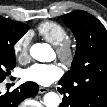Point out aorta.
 I'll use <instances>...</instances> for the list:
<instances>
[{"label":"aorta","instance_id":"1","mask_svg":"<svg viewBox=\"0 0 107 107\" xmlns=\"http://www.w3.org/2000/svg\"><path fill=\"white\" fill-rule=\"evenodd\" d=\"M49 46L43 43H36L30 48V55L40 62L49 60ZM43 103L46 107H58L60 104V97L55 92H48L44 95Z\"/></svg>","mask_w":107,"mask_h":107}]
</instances>
